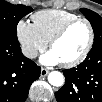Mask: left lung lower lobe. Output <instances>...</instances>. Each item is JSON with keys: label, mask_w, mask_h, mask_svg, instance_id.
Masks as SVG:
<instances>
[{"label": "left lung lower lobe", "mask_w": 102, "mask_h": 102, "mask_svg": "<svg viewBox=\"0 0 102 102\" xmlns=\"http://www.w3.org/2000/svg\"><path fill=\"white\" fill-rule=\"evenodd\" d=\"M63 73L65 84L55 93L58 102H102V44L94 45L77 68Z\"/></svg>", "instance_id": "left-lung-lower-lobe-1"}]
</instances>
